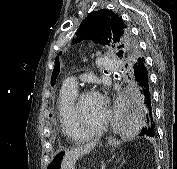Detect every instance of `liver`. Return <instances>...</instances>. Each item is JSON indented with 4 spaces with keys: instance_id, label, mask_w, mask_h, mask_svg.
Here are the masks:
<instances>
[{
    "instance_id": "1",
    "label": "liver",
    "mask_w": 177,
    "mask_h": 169,
    "mask_svg": "<svg viewBox=\"0 0 177 169\" xmlns=\"http://www.w3.org/2000/svg\"><path fill=\"white\" fill-rule=\"evenodd\" d=\"M95 145L96 143L93 142V143L86 144L79 148H75V149L65 152L62 163H61V168L62 169H74L77 159L80 156H83L89 153L95 147Z\"/></svg>"
}]
</instances>
